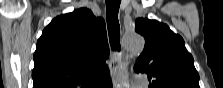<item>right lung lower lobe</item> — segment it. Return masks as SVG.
<instances>
[{"label": "right lung lower lobe", "instance_id": "98d812e1", "mask_svg": "<svg viewBox=\"0 0 223 88\" xmlns=\"http://www.w3.org/2000/svg\"><path fill=\"white\" fill-rule=\"evenodd\" d=\"M97 88H112L110 76L104 82L98 84Z\"/></svg>", "mask_w": 223, "mask_h": 88}]
</instances>
